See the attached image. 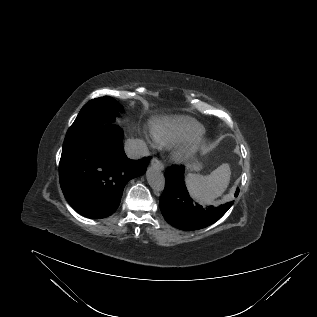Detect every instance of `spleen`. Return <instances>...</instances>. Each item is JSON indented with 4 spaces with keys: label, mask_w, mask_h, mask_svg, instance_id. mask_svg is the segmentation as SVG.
<instances>
[{
    "label": "spleen",
    "mask_w": 317,
    "mask_h": 317,
    "mask_svg": "<svg viewBox=\"0 0 317 317\" xmlns=\"http://www.w3.org/2000/svg\"><path fill=\"white\" fill-rule=\"evenodd\" d=\"M230 175L228 164H222L207 176L188 174L186 177L187 188L195 200L208 204L224 193L228 187Z\"/></svg>",
    "instance_id": "1"
}]
</instances>
